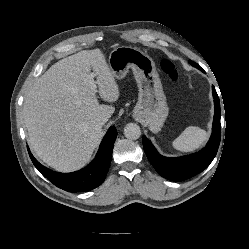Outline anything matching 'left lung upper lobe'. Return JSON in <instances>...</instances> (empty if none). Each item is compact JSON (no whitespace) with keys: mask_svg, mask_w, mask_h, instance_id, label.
Segmentation results:
<instances>
[{"mask_svg":"<svg viewBox=\"0 0 249 249\" xmlns=\"http://www.w3.org/2000/svg\"><path fill=\"white\" fill-rule=\"evenodd\" d=\"M190 63L194 66V67H196V68H201L199 65H197L196 63H194V62H192V61H190Z\"/></svg>","mask_w":249,"mask_h":249,"instance_id":"left-lung-upper-lobe-1","label":"left lung upper lobe"}]
</instances>
